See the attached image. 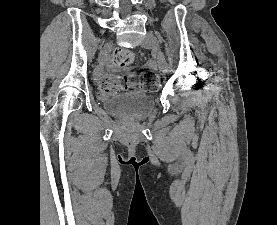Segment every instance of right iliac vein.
<instances>
[{"instance_id": "right-iliac-vein-1", "label": "right iliac vein", "mask_w": 277, "mask_h": 225, "mask_svg": "<svg viewBox=\"0 0 277 225\" xmlns=\"http://www.w3.org/2000/svg\"><path fill=\"white\" fill-rule=\"evenodd\" d=\"M111 47H112V43H111V42L106 43V44L104 45V47H103V49H102V51H101V53H100V55H99V61H100V62H103V61H104V59H105V57H106L108 51L111 49Z\"/></svg>"}]
</instances>
